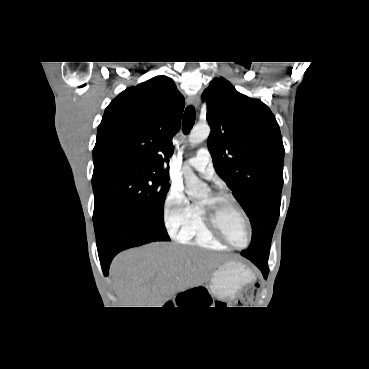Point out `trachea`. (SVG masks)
<instances>
[{
	"mask_svg": "<svg viewBox=\"0 0 369 369\" xmlns=\"http://www.w3.org/2000/svg\"><path fill=\"white\" fill-rule=\"evenodd\" d=\"M195 122V109L192 105L188 106L184 112L182 121V130L185 134H188L192 129Z\"/></svg>",
	"mask_w": 369,
	"mask_h": 369,
	"instance_id": "trachea-1",
	"label": "trachea"
}]
</instances>
